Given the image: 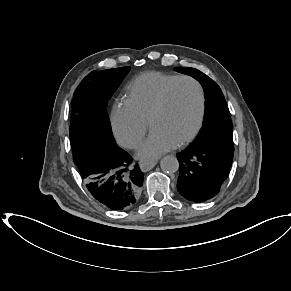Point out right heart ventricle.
Segmentation results:
<instances>
[{"instance_id":"obj_1","label":"right heart ventricle","mask_w":291,"mask_h":291,"mask_svg":"<svg viewBox=\"0 0 291 291\" xmlns=\"http://www.w3.org/2000/svg\"><path fill=\"white\" fill-rule=\"evenodd\" d=\"M176 77L160 72L139 75L129 86L126 103L138 117L148 122L162 90Z\"/></svg>"}]
</instances>
